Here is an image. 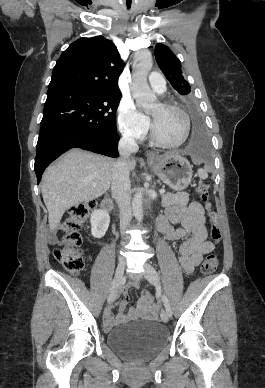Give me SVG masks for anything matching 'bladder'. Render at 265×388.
I'll list each match as a JSON object with an SVG mask.
<instances>
[{"label": "bladder", "mask_w": 265, "mask_h": 388, "mask_svg": "<svg viewBox=\"0 0 265 388\" xmlns=\"http://www.w3.org/2000/svg\"><path fill=\"white\" fill-rule=\"evenodd\" d=\"M165 326L156 321L122 325L107 334L106 344L134 361H142L167 342Z\"/></svg>", "instance_id": "31cf9c89"}]
</instances>
